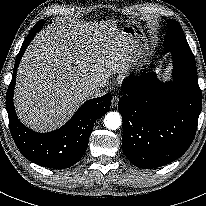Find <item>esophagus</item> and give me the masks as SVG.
Returning <instances> with one entry per match:
<instances>
[{
  "mask_svg": "<svg viewBox=\"0 0 206 206\" xmlns=\"http://www.w3.org/2000/svg\"><path fill=\"white\" fill-rule=\"evenodd\" d=\"M118 102H119V97H118V96H113V98H112V100H111V106H112L113 108L117 107Z\"/></svg>",
  "mask_w": 206,
  "mask_h": 206,
  "instance_id": "1",
  "label": "esophagus"
}]
</instances>
